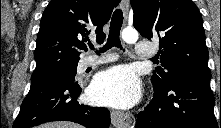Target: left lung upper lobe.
Segmentation results:
<instances>
[{
    "instance_id": "obj_1",
    "label": "left lung upper lobe",
    "mask_w": 221,
    "mask_h": 128,
    "mask_svg": "<svg viewBox=\"0 0 221 128\" xmlns=\"http://www.w3.org/2000/svg\"><path fill=\"white\" fill-rule=\"evenodd\" d=\"M133 25L148 40L160 41V63L151 78L164 89L183 76L211 79L199 9L191 0H131Z\"/></svg>"
}]
</instances>
